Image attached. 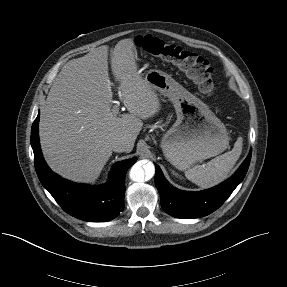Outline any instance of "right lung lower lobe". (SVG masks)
<instances>
[{"label":"right lung lower lobe","instance_id":"1","mask_svg":"<svg viewBox=\"0 0 287 287\" xmlns=\"http://www.w3.org/2000/svg\"><path fill=\"white\" fill-rule=\"evenodd\" d=\"M39 114L31 128V146L37 175L62 209L73 217L89 222H104L117 217L124 209L125 174L137 158L117 162L110 179L100 186L70 182L58 176L46 164L39 144Z\"/></svg>","mask_w":287,"mask_h":287}]
</instances>
